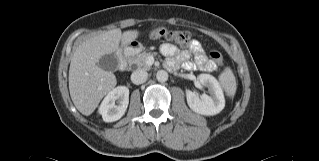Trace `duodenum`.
Here are the masks:
<instances>
[{
	"mask_svg": "<svg viewBox=\"0 0 319 161\" xmlns=\"http://www.w3.org/2000/svg\"><path fill=\"white\" fill-rule=\"evenodd\" d=\"M129 48L130 46H128L125 49H121L117 53V61H118L119 68L121 70H124L129 62V58H130Z\"/></svg>",
	"mask_w": 319,
	"mask_h": 161,
	"instance_id": "obj_1",
	"label": "duodenum"
}]
</instances>
